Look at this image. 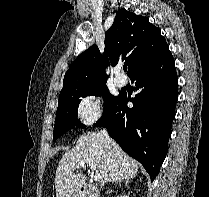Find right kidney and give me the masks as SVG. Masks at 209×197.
Returning <instances> with one entry per match:
<instances>
[{
	"mask_svg": "<svg viewBox=\"0 0 209 197\" xmlns=\"http://www.w3.org/2000/svg\"><path fill=\"white\" fill-rule=\"evenodd\" d=\"M118 197H129V196H127V195H121V196H118Z\"/></svg>",
	"mask_w": 209,
	"mask_h": 197,
	"instance_id": "obj_1",
	"label": "right kidney"
}]
</instances>
